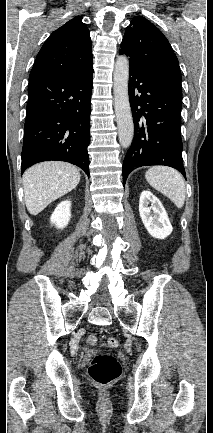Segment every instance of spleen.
<instances>
[{"label": "spleen", "mask_w": 213, "mask_h": 433, "mask_svg": "<svg viewBox=\"0 0 213 433\" xmlns=\"http://www.w3.org/2000/svg\"><path fill=\"white\" fill-rule=\"evenodd\" d=\"M147 182L167 196L178 208L185 203L186 189L182 175L170 167L155 166L145 174Z\"/></svg>", "instance_id": "obj_1"}]
</instances>
